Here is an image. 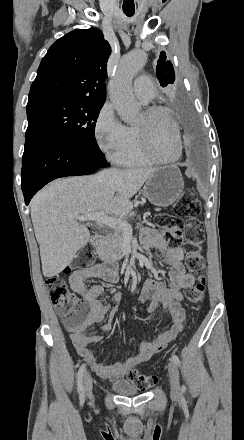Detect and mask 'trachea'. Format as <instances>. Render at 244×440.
<instances>
[{
    "instance_id": "trachea-1",
    "label": "trachea",
    "mask_w": 244,
    "mask_h": 440,
    "mask_svg": "<svg viewBox=\"0 0 244 440\" xmlns=\"http://www.w3.org/2000/svg\"><path fill=\"white\" fill-rule=\"evenodd\" d=\"M123 12H124L128 17H132V15H134L135 10H134V9H129V8H123Z\"/></svg>"
}]
</instances>
